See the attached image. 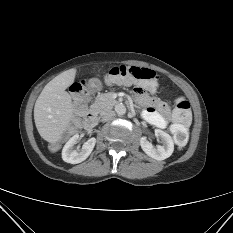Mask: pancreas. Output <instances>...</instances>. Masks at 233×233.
<instances>
[{"mask_svg": "<svg viewBox=\"0 0 233 233\" xmlns=\"http://www.w3.org/2000/svg\"><path fill=\"white\" fill-rule=\"evenodd\" d=\"M117 101L113 98V92L98 94L94 103L90 106V112L94 115H103L106 111L111 110Z\"/></svg>", "mask_w": 233, "mask_h": 233, "instance_id": "cf45deb5", "label": "pancreas"}]
</instances>
